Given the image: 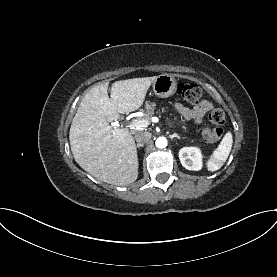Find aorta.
<instances>
[{
	"instance_id": "1",
	"label": "aorta",
	"mask_w": 277,
	"mask_h": 277,
	"mask_svg": "<svg viewBox=\"0 0 277 277\" xmlns=\"http://www.w3.org/2000/svg\"><path fill=\"white\" fill-rule=\"evenodd\" d=\"M155 144L157 148H165L167 146V139L165 137H159Z\"/></svg>"
}]
</instances>
